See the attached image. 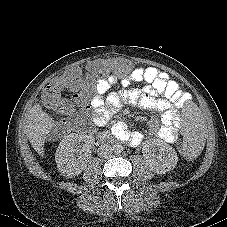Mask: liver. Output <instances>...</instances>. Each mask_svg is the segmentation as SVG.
I'll return each instance as SVG.
<instances>
[{
    "label": "liver",
    "mask_w": 227,
    "mask_h": 227,
    "mask_svg": "<svg viewBox=\"0 0 227 227\" xmlns=\"http://www.w3.org/2000/svg\"><path fill=\"white\" fill-rule=\"evenodd\" d=\"M54 125L53 118L43 111L39 103H35L27 116L26 134L32 147L40 156L44 154L46 135Z\"/></svg>",
    "instance_id": "liver-1"
}]
</instances>
